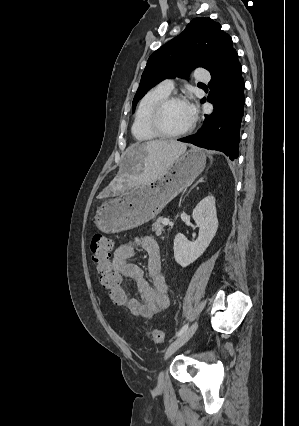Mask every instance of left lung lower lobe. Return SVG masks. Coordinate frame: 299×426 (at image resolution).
<instances>
[{"mask_svg": "<svg viewBox=\"0 0 299 426\" xmlns=\"http://www.w3.org/2000/svg\"><path fill=\"white\" fill-rule=\"evenodd\" d=\"M209 72L211 81L207 101L216 107L215 111L204 116L203 126L196 134L178 141L221 151L234 160L239 155L240 126L245 104V85L237 52L232 50L226 53ZM202 102H205V98Z\"/></svg>", "mask_w": 299, "mask_h": 426, "instance_id": "1", "label": "left lung lower lobe"}]
</instances>
